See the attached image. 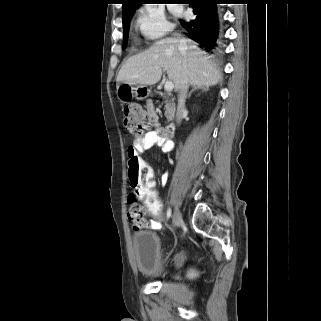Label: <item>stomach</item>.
<instances>
[{
	"label": "stomach",
	"mask_w": 321,
	"mask_h": 321,
	"mask_svg": "<svg viewBox=\"0 0 321 321\" xmlns=\"http://www.w3.org/2000/svg\"><path fill=\"white\" fill-rule=\"evenodd\" d=\"M150 89L144 85L122 84L117 88V97L123 102L127 103L134 97L142 100L149 96Z\"/></svg>",
	"instance_id": "1"
}]
</instances>
